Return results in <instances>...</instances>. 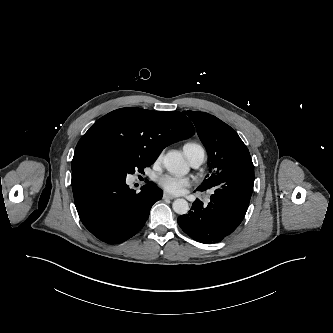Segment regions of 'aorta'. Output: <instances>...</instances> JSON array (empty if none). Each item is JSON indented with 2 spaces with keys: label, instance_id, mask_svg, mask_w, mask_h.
<instances>
[{
  "label": "aorta",
  "instance_id": "aorta-1",
  "mask_svg": "<svg viewBox=\"0 0 333 333\" xmlns=\"http://www.w3.org/2000/svg\"><path fill=\"white\" fill-rule=\"evenodd\" d=\"M163 164L167 171L177 176H184L189 172V166L177 151L168 152L163 159ZM172 208L179 215H184L189 211L188 202L181 198L173 202Z\"/></svg>",
  "mask_w": 333,
  "mask_h": 333
}]
</instances>
